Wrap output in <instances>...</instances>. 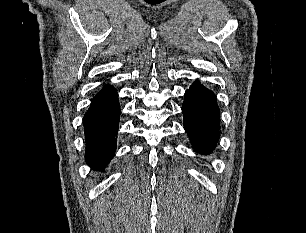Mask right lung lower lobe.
<instances>
[{"label":"right lung lower lobe","mask_w":306,"mask_h":233,"mask_svg":"<svg viewBox=\"0 0 306 233\" xmlns=\"http://www.w3.org/2000/svg\"><path fill=\"white\" fill-rule=\"evenodd\" d=\"M120 113L117 92L106 85L84 115L85 158L95 170H103L114 156Z\"/></svg>","instance_id":"obj_1"}]
</instances>
